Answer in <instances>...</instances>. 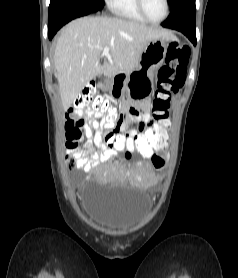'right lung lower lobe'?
Here are the masks:
<instances>
[{
  "label": "right lung lower lobe",
  "mask_w": 238,
  "mask_h": 278,
  "mask_svg": "<svg viewBox=\"0 0 238 278\" xmlns=\"http://www.w3.org/2000/svg\"><path fill=\"white\" fill-rule=\"evenodd\" d=\"M100 9L82 0H51L48 15L49 39L51 40L56 32L69 21Z\"/></svg>",
  "instance_id": "right-lung-lower-lobe-1"
}]
</instances>
